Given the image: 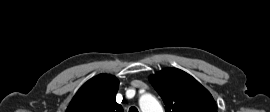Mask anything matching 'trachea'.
I'll return each instance as SVG.
<instances>
[{"label":"trachea","instance_id":"1","mask_svg":"<svg viewBox=\"0 0 270 112\" xmlns=\"http://www.w3.org/2000/svg\"><path fill=\"white\" fill-rule=\"evenodd\" d=\"M129 112H138V109L134 106L130 107Z\"/></svg>","mask_w":270,"mask_h":112}]
</instances>
